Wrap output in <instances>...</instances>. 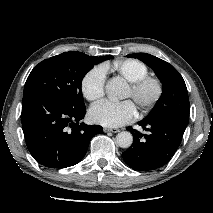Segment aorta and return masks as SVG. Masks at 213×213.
<instances>
[{
    "label": "aorta",
    "mask_w": 213,
    "mask_h": 213,
    "mask_svg": "<svg viewBox=\"0 0 213 213\" xmlns=\"http://www.w3.org/2000/svg\"><path fill=\"white\" fill-rule=\"evenodd\" d=\"M123 91V83L119 80L113 79L106 85V92L112 99L121 97ZM116 143L121 148H128L133 143V136L128 131H122L116 136Z\"/></svg>",
    "instance_id": "obj_1"
}]
</instances>
